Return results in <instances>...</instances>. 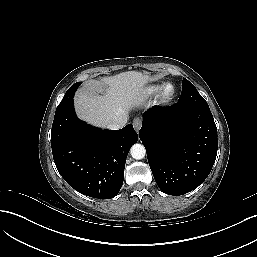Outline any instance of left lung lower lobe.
I'll return each instance as SVG.
<instances>
[{
    "mask_svg": "<svg viewBox=\"0 0 257 257\" xmlns=\"http://www.w3.org/2000/svg\"><path fill=\"white\" fill-rule=\"evenodd\" d=\"M158 187L169 195L197 188L216 159L218 140L209 106H154L139 132Z\"/></svg>",
    "mask_w": 257,
    "mask_h": 257,
    "instance_id": "left-lung-lower-lobe-1",
    "label": "left lung lower lobe"
}]
</instances>
